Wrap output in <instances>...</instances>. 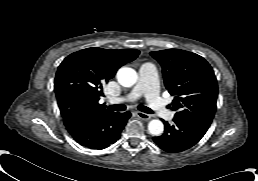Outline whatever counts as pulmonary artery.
<instances>
[{
    "mask_svg": "<svg viewBox=\"0 0 258 181\" xmlns=\"http://www.w3.org/2000/svg\"><path fill=\"white\" fill-rule=\"evenodd\" d=\"M145 96L148 106L159 117L171 119L172 114L167 109L164 100L159 96L157 69L153 63H144L139 68V78L134 88L125 96L110 99L111 103L131 102Z\"/></svg>",
    "mask_w": 258,
    "mask_h": 181,
    "instance_id": "pulmonary-artery-1",
    "label": "pulmonary artery"
}]
</instances>
